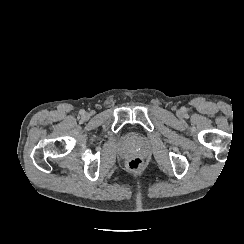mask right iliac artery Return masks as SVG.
Listing matches in <instances>:
<instances>
[{
  "instance_id": "right-iliac-artery-1",
  "label": "right iliac artery",
  "mask_w": 244,
  "mask_h": 244,
  "mask_svg": "<svg viewBox=\"0 0 244 244\" xmlns=\"http://www.w3.org/2000/svg\"><path fill=\"white\" fill-rule=\"evenodd\" d=\"M85 111L84 110H80V114L84 115Z\"/></svg>"
}]
</instances>
